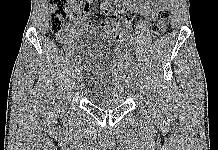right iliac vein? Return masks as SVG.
I'll return each mask as SVG.
<instances>
[{"label":"right iliac vein","instance_id":"right-iliac-vein-1","mask_svg":"<svg viewBox=\"0 0 218 150\" xmlns=\"http://www.w3.org/2000/svg\"><path fill=\"white\" fill-rule=\"evenodd\" d=\"M72 78H73L74 84L77 83V82H76V81H77V78H78V77H77V72L73 73ZM75 88H76V84H75Z\"/></svg>","mask_w":218,"mask_h":150}]
</instances>
